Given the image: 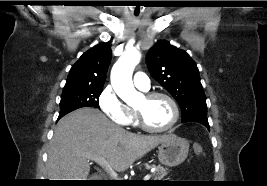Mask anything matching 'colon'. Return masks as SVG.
Wrapping results in <instances>:
<instances>
[{
    "mask_svg": "<svg viewBox=\"0 0 267 186\" xmlns=\"http://www.w3.org/2000/svg\"><path fill=\"white\" fill-rule=\"evenodd\" d=\"M193 150H194V152H195L196 155H201L203 153L202 146L200 144H197V143H195L193 145Z\"/></svg>",
    "mask_w": 267,
    "mask_h": 186,
    "instance_id": "colon-1",
    "label": "colon"
}]
</instances>
